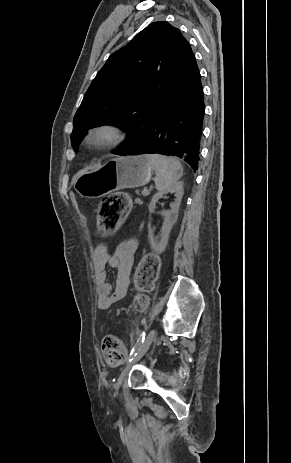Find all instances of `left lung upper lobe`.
Returning <instances> with one entry per match:
<instances>
[{
  "label": "left lung upper lobe",
  "mask_w": 291,
  "mask_h": 463,
  "mask_svg": "<svg viewBox=\"0 0 291 463\" xmlns=\"http://www.w3.org/2000/svg\"><path fill=\"white\" fill-rule=\"evenodd\" d=\"M195 55L181 32L155 22L114 52L89 86L73 119L74 151L95 126L127 131L114 152L130 150L156 120L170 97L198 71Z\"/></svg>",
  "instance_id": "left-lung-upper-lobe-1"
}]
</instances>
